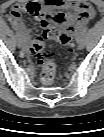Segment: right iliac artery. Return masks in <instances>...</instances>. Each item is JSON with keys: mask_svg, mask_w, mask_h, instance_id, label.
<instances>
[{"mask_svg": "<svg viewBox=\"0 0 104 137\" xmlns=\"http://www.w3.org/2000/svg\"><path fill=\"white\" fill-rule=\"evenodd\" d=\"M15 30H17L16 28H14ZM17 35L21 36L20 33L17 32ZM22 38V37H21Z\"/></svg>", "mask_w": 104, "mask_h": 137, "instance_id": "1", "label": "right iliac artery"}]
</instances>
